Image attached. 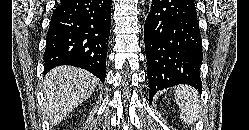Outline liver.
Segmentation results:
<instances>
[{"label":"liver","instance_id":"6515ba94","mask_svg":"<svg viewBox=\"0 0 249 130\" xmlns=\"http://www.w3.org/2000/svg\"><path fill=\"white\" fill-rule=\"evenodd\" d=\"M98 79L83 69L60 66L52 69L44 82V113L54 126L91 96Z\"/></svg>","mask_w":249,"mask_h":130}]
</instances>
